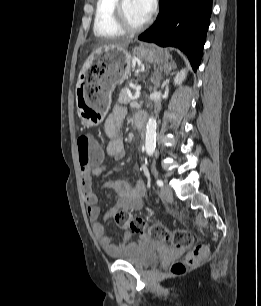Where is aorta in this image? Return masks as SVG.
I'll return each mask as SVG.
<instances>
[{"label": "aorta", "mask_w": 261, "mask_h": 306, "mask_svg": "<svg viewBox=\"0 0 261 306\" xmlns=\"http://www.w3.org/2000/svg\"><path fill=\"white\" fill-rule=\"evenodd\" d=\"M155 139H156V121L154 118H149L146 128V141L145 149L147 154H153L155 150Z\"/></svg>", "instance_id": "obj_1"}]
</instances>
